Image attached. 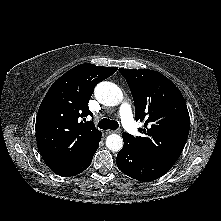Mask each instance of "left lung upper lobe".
Instances as JSON below:
<instances>
[{"instance_id": "1", "label": "left lung upper lobe", "mask_w": 221, "mask_h": 221, "mask_svg": "<svg viewBox=\"0 0 221 221\" xmlns=\"http://www.w3.org/2000/svg\"><path fill=\"white\" fill-rule=\"evenodd\" d=\"M135 103L136 121H144L143 136L123 135L138 150L173 166L190 128L186 102L180 90L163 74L147 69H119Z\"/></svg>"}]
</instances>
